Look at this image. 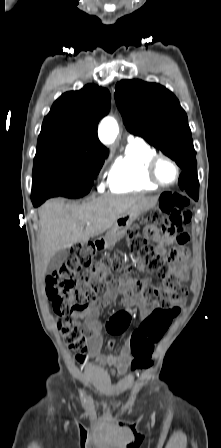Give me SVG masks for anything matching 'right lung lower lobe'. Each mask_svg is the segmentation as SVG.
Masks as SVG:
<instances>
[{
	"label": "right lung lower lobe",
	"mask_w": 221,
	"mask_h": 448,
	"mask_svg": "<svg viewBox=\"0 0 221 448\" xmlns=\"http://www.w3.org/2000/svg\"><path fill=\"white\" fill-rule=\"evenodd\" d=\"M50 197H55L53 196L51 193H46V192H33L32 191V195H31V199H32V203L34 205V207H38L39 205H41L46 199L50 198Z\"/></svg>",
	"instance_id": "1"
}]
</instances>
